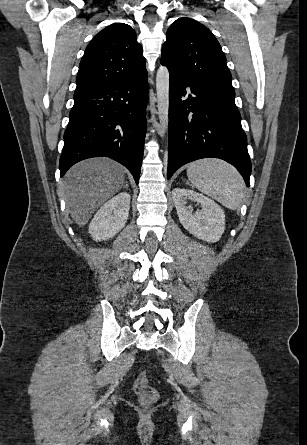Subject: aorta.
Instances as JSON below:
<instances>
[{"mask_svg":"<svg viewBox=\"0 0 307 445\" xmlns=\"http://www.w3.org/2000/svg\"><path fill=\"white\" fill-rule=\"evenodd\" d=\"M157 104L162 134L168 128L169 120V70L167 66H159L156 76Z\"/></svg>","mask_w":307,"mask_h":445,"instance_id":"762f6f07","label":"aorta"}]
</instances>
